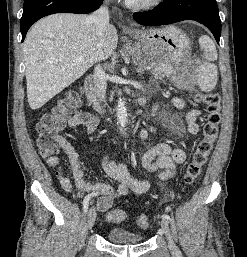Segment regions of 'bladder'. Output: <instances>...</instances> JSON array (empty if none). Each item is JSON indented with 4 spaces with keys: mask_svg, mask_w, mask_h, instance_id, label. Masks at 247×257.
I'll return each mask as SVG.
<instances>
[{
    "mask_svg": "<svg viewBox=\"0 0 247 257\" xmlns=\"http://www.w3.org/2000/svg\"><path fill=\"white\" fill-rule=\"evenodd\" d=\"M106 237L111 243L118 245L138 244L144 240L143 235L121 227L108 229Z\"/></svg>",
    "mask_w": 247,
    "mask_h": 257,
    "instance_id": "31cf9c89",
    "label": "bladder"
}]
</instances>
